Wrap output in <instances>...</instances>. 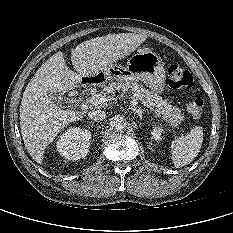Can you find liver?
<instances>
[{
  "mask_svg": "<svg viewBox=\"0 0 233 233\" xmlns=\"http://www.w3.org/2000/svg\"><path fill=\"white\" fill-rule=\"evenodd\" d=\"M147 39L133 33L96 37L77 45L71 53L74 72L66 66L63 52L51 56L28 83L20 105V128L31 157L42 163L47 146L69 123L84 115L51 101L48 94L67 93L109 65L135 51Z\"/></svg>",
  "mask_w": 233,
  "mask_h": 233,
  "instance_id": "6515ba94",
  "label": "liver"
}]
</instances>
